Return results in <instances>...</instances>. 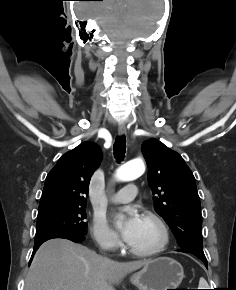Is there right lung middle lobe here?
Masks as SVG:
<instances>
[{
    "label": "right lung middle lobe",
    "mask_w": 236,
    "mask_h": 290,
    "mask_svg": "<svg viewBox=\"0 0 236 290\" xmlns=\"http://www.w3.org/2000/svg\"><path fill=\"white\" fill-rule=\"evenodd\" d=\"M85 205L51 206L39 209L35 242L56 235L87 234Z\"/></svg>",
    "instance_id": "1"
}]
</instances>
